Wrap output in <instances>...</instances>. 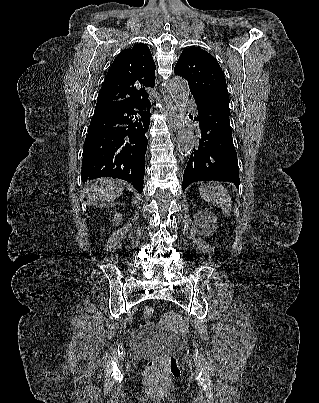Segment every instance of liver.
I'll use <instances>...</instances> for the list:
<instances>
[{
  "label": "liver",
  "instance_id": "liver-1",
  "mask_svg": "<svg viewBox=\"0 0 319 403\" xmlns=\"http://www.w3.org/2000/svg\"><path fill=\"white\" fill-rule=\"evenodd\" d=\"M124 190L123 183L119 180L102 178L95 180L87 187V197L93 204L98 202H112L119 197Z\"/></svg>",
  "mask_w": 319,
  "mask_h": 403
}]
</instances>
